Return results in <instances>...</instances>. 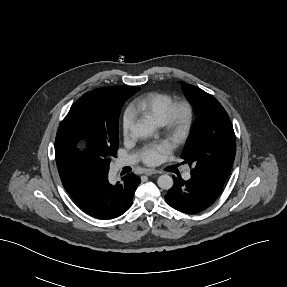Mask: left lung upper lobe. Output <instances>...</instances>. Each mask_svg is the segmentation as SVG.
Listing matches in <instances>:
<instances>
[{"instance_id": "left-lung-upper-lobe-1", "label": "left lung upper lobe", "mask_w": 287, "mask_h": 287, "mask_svg": "<svg viewBox=\"0 0 287 287\" xmlns=\"http://www.w3.org/2000/svg\"><path fill=\"white\" fill-rule=\"evenodd\" d=\"M195 105L198 120L181 154L197 172L224 184L235 158V133L227 112L212 95L202 89L182 83Z\"/></svg>"}]
</instances>
